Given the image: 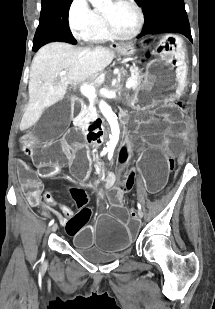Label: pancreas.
Returning <instances> with one entry per match:
<instances>
[{
  "instance_id": "obj_1",
  "label": "pancreas",
  "mask_w": 215,
  "mask_h": 309,
  "mask_svg": "<svg viewBox=\"0 0 215 309\" xmlns=\"http://www.w3.org/2000/svg\"><path fill=\"white\" fill-rule=\"evenodd\" d=\"M130 72L134 76L133 80H136V88H137L138 84H141V80H143V76H141V74H140L141 70H138V68H136V66H133V68H131ZM81 114H83L82 118H85V122H84L83 126H86V124H88V122H90L91 118H95V116H97V108L95 106L94 98H92V100H89V104H88L87 108H84V110H82Z\"/></svg>"
}]
</instances>
